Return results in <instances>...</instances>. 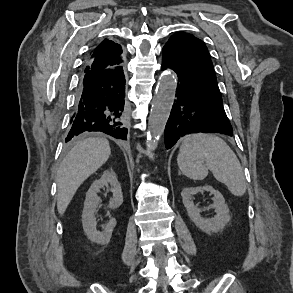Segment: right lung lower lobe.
<instances>
[{
  "label": "right lung lower lobe",
  "instance_id": "1",
  "mask_svg": "<svg viewBox=\"0 0 293 293\" xmlns=\"http://www.w3.org/2000/svg\"><path fill=\"white\" fill-rule=\"evenodd\" d=\"M125 76L122 66L86 72L66 142L84 132L127 139Z\"/></svg>",
  "mask_w": 293,
  "mask_h": 293
}]
</instances>
